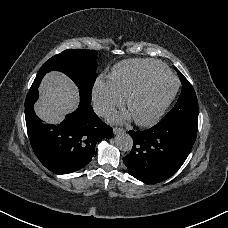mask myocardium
I'll return each instance as SVG.
<instances>
[{
  "label": "myocardium",
  "mask_w": 228,
  "mask_h": 228,
  "mask_svg": "<svg viewBox=\"0 0 228 228\" xmlns=\"http://www.w3.org/2000/svg\"><path fill=\"white\" fill-rule=\"evenodd\" d=\"M160 79L173 80L174 87H173L171 93L168 95V97L163 101V103L158 107L156 112L149 119H147V120H141L138 118L135 119L136 123L141 126L150 127L157 123V121L163 115L164 111L167 109V107L169 106L170 102L172 101V99L176 93V90L178 88L177 79L170 74L150 77V78L146 79L145 81H143L138 87H136L126 99V106L128 107V109H130L132 101L134 99H136L138 96H140L151 84H153L154 82H156Z\"/></svg>",
  "instance_id": "myocardium-1"
}]
</instances>
